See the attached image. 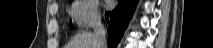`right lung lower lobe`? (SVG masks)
Returning a JSON list of instances; mask_svg holds the SVG:
<instances>
[{"instance_id": "98d812e1", "label": "right lung lower lobe", "mask_w": 213, "mask_h": 48, "mask_svg": "<svg viewBox=\"0 0 213 48\" xmlns=\"http://www.w3.org/2000/svg\"><path fill=\"white\" fill-rule=\"evenodd\" d=\"M118 6L109 13H105L106 19L111 24L108 28V46L116 48L128 23L133 15L138 0H118Z\"/></svg>"}]
</instances>
